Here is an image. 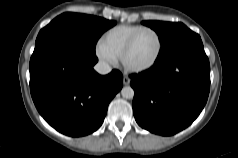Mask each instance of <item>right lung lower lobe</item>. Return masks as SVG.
Returning <instances> with one entry per match:
<instances>
[{"instance_id": "obj_1", "label": "right lung lower lobe", "mask_w": 238, "mask_h": 158, "mask_svg": "<svg viewBox=\"0 0 238 158\" xmlns=\"http://www.w3.org/2000/svg\"><path fill=\"white\" fill-rule=\"evenodd\" d=\"M98 61L73 42L51 37L35 46L30 59V91L41 116L57 131L80 137L103 123L110 101L121 90L123 75L102 76Z\"/></svg>"}]
</instances>
